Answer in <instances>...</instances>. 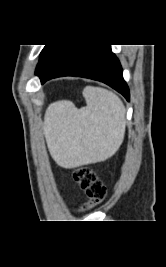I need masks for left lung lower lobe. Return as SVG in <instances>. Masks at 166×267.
<instances>
[{"label": "left lung lower lobe", "instance_id": "obj_1", "mask_svg": "<svg viewBox=\"0 0 166 267\" xmlns=\"http://www.w3.org/2000/svg\"><path fill=\"white\" fill-rule=\"evenodd\" d=\"M41 83L61 76H78L101 81L129 101L122 67L110 45H55L36 71Z\"/></svg>", "mask_w": 166, "mask_h": 267}]
</instances>
